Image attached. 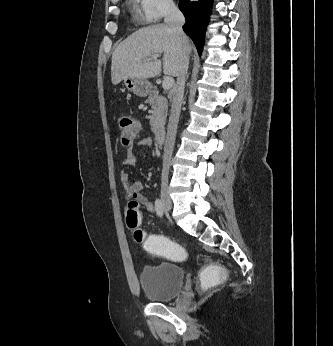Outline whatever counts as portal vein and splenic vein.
I'll use <instances>...</instances> for the list:
<instances>
[{
  "label": "portal vein and splenic vein",
  "instance_id": "portal-vein-and-splenic-vein-1",
  "mask_svg": "<svg viewBox=\"0 0 333 346\" xmlns=\"http://www.w3.org/2000/svg\"><path fill=\"white\" fill-rule=\"evenodd\" d=\"M159 55H153V59H157ZM162 86L165 90H170L174 86V79L172 77H166L163 80Z\"/></svg>",
  "mask_w": 333,
  "mask_h": 346
}]
</instances>
